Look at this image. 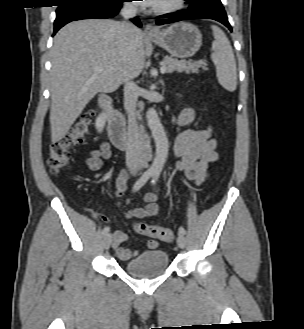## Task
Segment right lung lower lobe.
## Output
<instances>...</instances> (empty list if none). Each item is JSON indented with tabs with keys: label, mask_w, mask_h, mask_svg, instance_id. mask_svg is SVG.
<instances>
[{
	"label": "right lung lower lobe",
	"mask_w": 304,
	"mask_h": 329,
	"mask_svg": "<svg viewBox=\"0 0 304 329\" xmlns=\"http://www.w3.org/2000/svg\"><path fill=\"white\" fill-rule=\"evenodd\" d=\"M126 0H115L109 3H74L58 7L56 11V19L54 22L55 34L65 24L81 19L89 18H110L118 14L122 3ZM132 21L139 27L141 23L138 18L132 19Z\"/></svg>",
	"instance_id": "98d812e1"
}]
</instances>
